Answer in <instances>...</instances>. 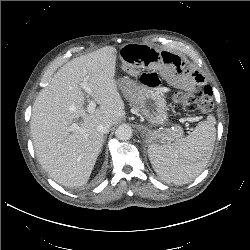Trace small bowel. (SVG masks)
<instances>
[{
	"mask_svg": "<svg viewBox=\"0 0 250 250\" xmlns=\"http://www.w3.org/2000/svg\"><path fill=\"white\" fill-rule=\"evenodd\" d=\"M122 67L131 76L143 73H166L180 88L193 91L204 84V77L169 52H159L148 46L127 45L120 51ZM183 68V71H179Z\"/></svg>",
	"mask_w": 250,
	"mask_h": 250,
	"instance_id": "1",
	"label": "small bowel"
}]
</instances>
